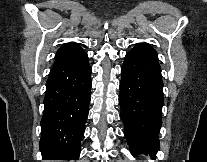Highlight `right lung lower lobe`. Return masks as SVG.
I'll list each match as a JSON object with an SVG mask.
<instances>
[{
  "label": "right lung lower lobe",
  "mask_w": 207,
  "mask_h": 162,
  "mask_svg": "<svg viewBox=\"0 0 207 162\" xmlns=\"http://www.w3.org/2000/svg\"><path fill=\"white\" fill-rule=\"evenodd\" d=\"M88 56L54 66L46 83L40 150L46 160H78L90 103Z\"/></svg>",
  "instance_id": "1"
}]
</instances>
